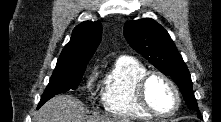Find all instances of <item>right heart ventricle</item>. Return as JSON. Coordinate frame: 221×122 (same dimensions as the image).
I'll list each match as a JSON object with an SVG mask.
<instances>
[{
  "label": "right heart ventricle",
  "mask_w": 221,
  "mask_h": 122,
  "mask_svg": "<svg viewBox=\"0 0 221 122\" xmlns=\"http://www.w3.org/2000/svg\"><path fill=\"white\" fill-rule=\"evenodd\" d=\"M147 71L139 61L120 57L104 79L102 101L105 110L118 117L149 119L151 115L139 105L135 86Z\"/></svg>",
  "instance_id": "obj_1"
}]
</instances>
